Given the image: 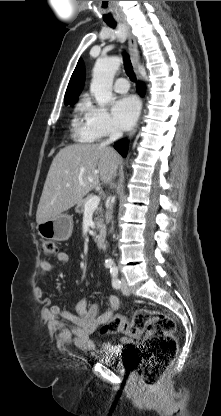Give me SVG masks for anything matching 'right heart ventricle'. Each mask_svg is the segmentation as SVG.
<instances>
[{"mask_svg":"<svg viewBox=\"0 0 221 416\" xmlns=\"http://www.w3.org/2000/svg\"><path fill=\"white\" fill-rule=\"evenodd\" d=\"M82 106H83V103H82V104H78V105H77V108H76V111H77V112H82ZM75 122L77 123V119L75 120ZM77 136H78L81 140H83V141H89V140H90V139L86 138V137L82 134V132H81V130H80V128H79V127L77 128Z\"/></svg>","mask_w":221,"mask_h":416,"instance_id":"obj_1","label":"right heart ventricle"}]
</instances>
